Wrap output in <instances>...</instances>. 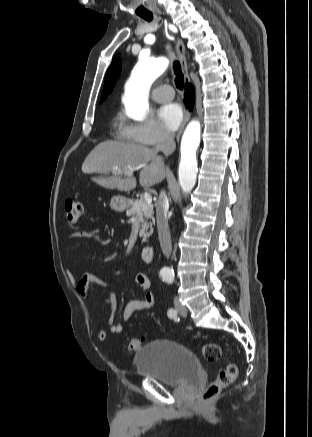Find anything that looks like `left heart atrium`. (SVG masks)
<instances>
[{"label":"left heart atrium","instance_id":"obj_1","mask_svg":"<svg viewBox=\"0 0 312 437\" xmlns=\"http://www.w3.org/2000/svg\"><path fill=\"white\" fill-rule=\"evenodd\" d=\"M182 109L176 103L162 106L158 111L161 124L169 131H175L182 121Z\"/></svg>","mask_w":312,"mask_h":437}]
</instances>
